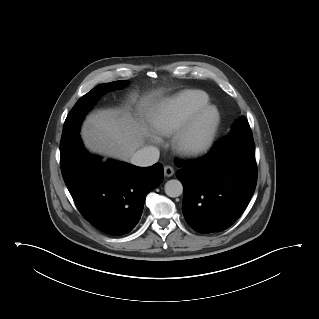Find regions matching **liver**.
Segmentation results:
<instances>
[{
    "mask_svg": "<svg viewBox=\"0 0 319 319\" xmlns=\"http://www.w3.org/2000/svg\"><path fill=\"white\" fill-rule=\"evenodd\" d=\"M132 101L136 96H131ZM152 105V100L141 101V107ZM148 128L138 122L127 108L99 110L90 114L83 123L81 137L92 152L129 161L143 146Z\"/></svg>",
    "mask_w": 319,
    "mask_h": 319,
    "instance_id": "liver-1",
    "label": "liver"
}]
</instances>
